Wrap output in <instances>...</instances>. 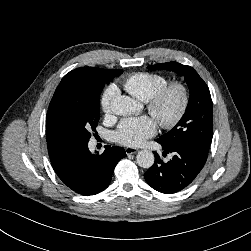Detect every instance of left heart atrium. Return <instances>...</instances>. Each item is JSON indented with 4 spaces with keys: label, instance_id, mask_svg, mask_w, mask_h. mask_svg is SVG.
<instances>
[{
    "label": "left heart atrium",
    "instance_id": "obj_1",
    "mask_svg": "<svg viewBox=\"0 0 251 251\" xmlns=\"http://www.w3.org/2000/svg\"><path fill=\"white\" fill-rule=\"evenodd\" d=\"M155 132V122L149 116L126 118L118 126L114 139L121 145L135 147L152 137Z\"/></svg>",
    "mask_w": 251,
    "mask_h": 251
}]
</instances>
